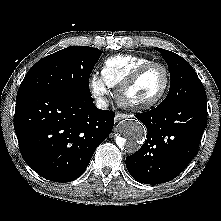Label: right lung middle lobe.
Here are the masks:
<instances>
[{"label":"right lung middle lobe","instance_id":"1","mask_svg":"<svg viewBox=\"0 0 221 221\" xmlns=\"http://www.w3.org/2000/svg\"><path fill=\"white\" fill-rule=\"evenodd\" d=\"M102 51L70 46L39 60L25 75L19 89H39L90 97L89 77Z\"/></svg>","mask_w":221,"mask_h":221}]
</instances>
